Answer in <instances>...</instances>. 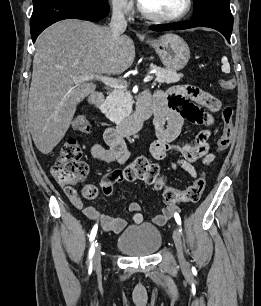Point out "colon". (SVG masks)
Masks as SVG:
<instances>
[{
  "mask_svg": "<svg viewBox=\"0 0 261 306\" xmlns=\"http://www.w3.org/2000/svg\"><path fill=\"white\" fill-rule=\"evenodd\" d=\"M235 85V80L232 78L220 80V86L224 90H233ZM221 120L223 124L222 134L216 143V149L219 152L226 150L234 137L235 128L231 107L227 106L222 110ZM73 127L84 134L90 132V123L85 116L76 117ZM81 157L80 144L75 138H69L62 145L59 156L51 168L55 180L68 190H72L73 185L81 183L88 174V167L82 162ZM110 179L117 182L141 180L146 184L153 185L156 190L163 191V197L168 203H195L200 199L206 184L205 177L202 174L184 190L167 187L163 176L160 174L159 167L144 157L137 158L124 169L113 173ZM97 194L98 191L95 187L89 188L85 192L87 198H95Z\"/></svg>",
  "mask_w": 261,
  "mask_h": 306,
  "instance_id": "colon-1",
  "label": "colon"
}]
</instances>
